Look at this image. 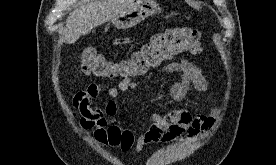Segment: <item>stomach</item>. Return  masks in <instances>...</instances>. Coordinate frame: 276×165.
I'll list each match as a JSON object with an SVG mask.
<instances>
[{
    "instance_id": "0dacf381",
    "label": "stomach",
    "mask_w": 276,
    "mask_h": 165,
    "mask_svg": "<svg viewBox=\"0 0 276 165\" xmlns=\"http://www.w3.org/2000/svg\"><path fill=\"white\" fill-rule=\"evenodd\" d=\"M163 10L154 0H137L129 9L111 20L117 29L134 27L149 16Z\"/></svg>"
}]
</instances>
